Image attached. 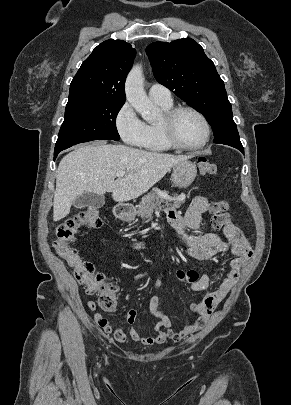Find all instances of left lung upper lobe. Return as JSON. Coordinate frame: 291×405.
<instances>
[{"mask_svg":"<svg viewBox=\"0 0 291 405\" xmlns=\"http://www.w3.org/2000/svg\"><path fill=\"white\" fill-rule=\"evenodd\" d=\"M146 53L157 81L207 118L215 143L242 146L224 82L196 41L154 42Z\"/></svg>","mask_w":291,"mask_h":405,"instance_id":"5c2ea615","label":"left lung upper lobe"}]
</instances>
